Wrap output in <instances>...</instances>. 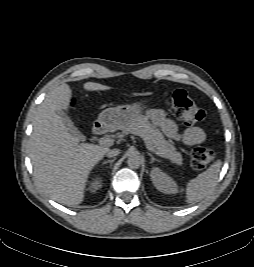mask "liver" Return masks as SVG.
<instances>
[{
    "label": "liver",
    "mask_w": 254,
    "mask_h": 267,
    "mask_svg": "<svg viewBox=\"0 0 254 267\" xmlns=\"http://www.w3.org/2000/svg\"><path fill=\"white\" fill-rule=\"evenodd\" d=\"M87 91L110 87L86 82ZM72 98L69 85L63 83L51 90L38 107L29 141V157L37 184L53 200L75 206L83 202L90 171L103 159L108 147L80 143L57 111L67 110Z\"/></svg>",
    "instance_id": "1"
}]
</instances>
